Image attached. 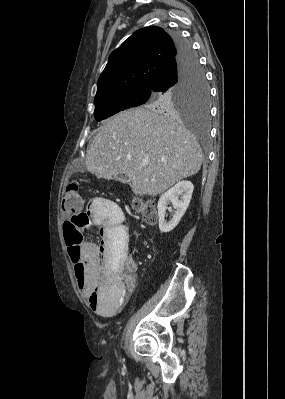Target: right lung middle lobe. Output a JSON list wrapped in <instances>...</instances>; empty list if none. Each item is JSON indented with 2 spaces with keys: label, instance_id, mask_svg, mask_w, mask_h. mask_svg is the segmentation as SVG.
I'll use <instances>...</instances> for the list:
<instances>
[{
  "label": "right lung middle lobe",
  "instance_id": "dd1d6c3e",
  "mask_svg": "<svg viewBox=\"0 0 285 399\" xmlns=\"http://www.w3.org/2000/svg\"><path fill=\"white\" fill-rule=\"evenodd\" d=\"M94 117L104 120L116 113L140 105L159 112L189 115L201 123L209 118V88L198 61L188 68L179 82L163 92L151 89H131L94 99Z\"/></svg>",
  "mask_w": 285,
  "mask_h": 399
}]
</instances>
